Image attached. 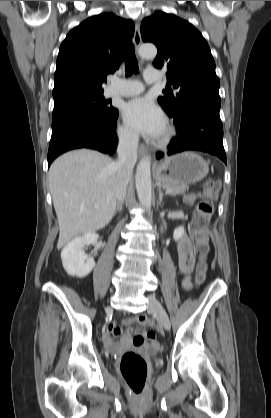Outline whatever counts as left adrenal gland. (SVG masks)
<instances>
[{"label": "left adrenal gland", "mask_w": 271, "mask_h": 418, "mask_svg": "<svg viewBox=\"0 0 271 418\" xmlns=\"http://www.w3.org/2000/svg\"><path fill=\"white\" fill-rule=\"evenodd\" d=\"M158 192H159V203H162V199H163V192L161 191L160 188H158Z\"/></svg>", "instance_id": "1"}]
</instances>
